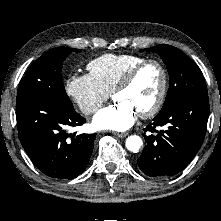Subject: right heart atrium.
I'll return each instance as SVG.
<instances>
[{"instance_id":"obj_1","label":"right heart atrium","mask_w":221,"mask_h":221,"mask_svg":"<svg viewBox=\"0 0 221 221\" xmlns=\"http://www.w3.org/2000/svg\"><path fill=\"white\" fill-rule=\"evenodd\" d=\"M65 89L67 95L85 115L96 112L110 97V93L91 74H71Z\"/></svg>"}]
</instances>
